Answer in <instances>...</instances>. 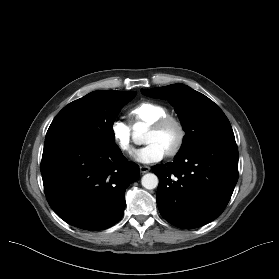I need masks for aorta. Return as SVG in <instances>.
<instances>
[{"instance_id":"obj_1","label":"aorta","mask_w":279,"mask_h":279,"mask_svg":"<svg viewBox=\"0 0 279 279\" xmlns=\"http://www.w3.org/2000/svg\"><path fill=\"white\" fill-rule=\"evenodd\" d=\"M135 135H141L146 131V125L144 123H137L134 126ZM159 180L154 173H147L141 179V184L144 188L151 190L158 186Z\"/></svg>"}]
</instances>
